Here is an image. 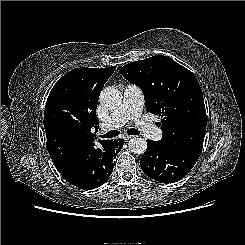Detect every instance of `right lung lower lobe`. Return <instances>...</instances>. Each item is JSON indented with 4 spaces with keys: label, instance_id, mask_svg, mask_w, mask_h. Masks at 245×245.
I'll return each mask as SVG.
<instances>
[{
    "label": "right lung lower lobe",
    "instance_id": "right-lung-lower-lobe-1",
    "mask_svg": "<svg viewBox=\"0 0 245 245\" xmlns=\"http://www.w3.org/2000/svg\"><path fill=\"white\" fill-rule=\"evenodd\" d=\"M99 142L101 149L93 145L76 158L50 157L66 181L80 189L92 190L109 179L115 163L113 159L124 145L122 139Z\"/></svg>",
    "mask_w": 245,
    "mask_h": 245
}]
</instances>
